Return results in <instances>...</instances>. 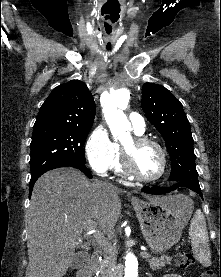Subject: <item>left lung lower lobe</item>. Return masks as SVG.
<instances>
[{
	"label": "left lung lower lobe",
	"instance_id": "left-lung-lower-lobe-1",
	"mask_svg": "<svg viewBox=\"0 0 221 277\" xmlns=\"http://www.w3.org/2000/svg\"><path fill=\"white\" fill-rule=\"evenodd\" d=\"M179 187H187L198 193L202 197L201 189L199 183H191L186 181H179L173 183L170 187H144L141 189L142 192L149 194H165L169 193Z\"/></svg>",
	"mask_w": 221,
	"mask_h": 277
}]
</instances>
